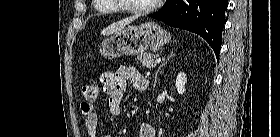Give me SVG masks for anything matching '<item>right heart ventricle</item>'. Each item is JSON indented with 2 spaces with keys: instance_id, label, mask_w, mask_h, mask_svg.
<instances>
[{
  "instance_id": "1",
  "label": "right heart ventricle",
  "mask_w": 280,
  "mask_h": 137,
  "mask_svg": "<svg viewBox=\"0 0 280 137\" xmlns=\"http://www.w3.org/2000/svg\"><path fill=\"white\" fill-rule=\"evenodd\" d=\"M108 0H95V11L102 15L115 14L118 10L107 4Z\"/></svg>"
}]
</instances>
